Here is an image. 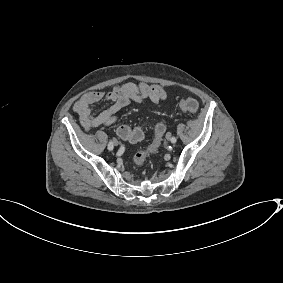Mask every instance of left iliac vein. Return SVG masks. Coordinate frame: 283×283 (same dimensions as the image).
Here are the masks:
<instances>
[{"label":"left iliac vein","instance_id":"obj_1","mask_svg":"<svg viewBox=\"0 0 283 283\" xmlns=\"http://www.w3.org/2000/svg\"><path fill=\"white\" fill-rule=\"evenodd\" d=\"M166 139H167L168 141H171V133H167V134H166Z\"/></svg>","mask_w":283,"mask_h":283}]
</instances>
